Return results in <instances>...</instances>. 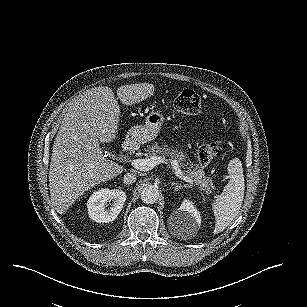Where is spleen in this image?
Returning a JSON list of instances; mask_svg holds the SVG:
<instances>
[{"instance_id":"obj_1","label":"spleen","mask_w":307,"mask_h":307,"mask_svg":"<svg viewBox=\"0 0 307 307\" xmlns=\"http://www.w3.org/2000/svg\"><path fill=\"white\" fill-rule=\"evenodd\" d=\"M229 182L220 195L215 197L213 209L216 217L214 234L226 229L239 213L243 203L245 180L239 158H234L228 165Z\"/></svg>"}]
</instances>
